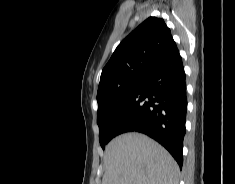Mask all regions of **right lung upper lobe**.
Returning a JSON list of instances; mask_svg holds the SVG:
<instances>
[{
    "instance_id": "obj_1",
    "label": "right lung upper lobe",
    "mask_w": 235,
    "mask_h": 184,
    "mask_svg": "<svg viewBox=\"0 0 235 184\" xmlns=\"http://www.w3.org/2000/svg\"><path fill=\"white\" fill-rule=\"evenodd\" d=\"M177 51L164 20L147 18L123 39L103 68L97 92L98 104L109 89L143 79Z\"/></svg>"
}]
</instances>
